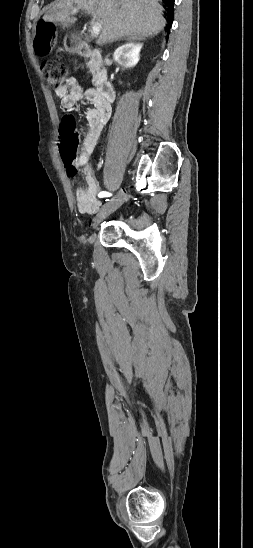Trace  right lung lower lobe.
Listing matches in <instances>:
<instances>
[{"label":"right lung lower lobe","mask_w":253,"mask_h":548,"mask_svg":"<svg viewBox=\"0 0 253 548\" xmlns=\"http://www.w3.org/2000/svg\"><path fill=\"white\" fill-rule=\"evenodd\" d=\"M163 2L166 4V6L168 7V9L170 10V15H169L168 19H169V23H170V25H171L172 22H173V5H174V0H163Z\"/></svg>","instance_id":"1"}]
</instances>
